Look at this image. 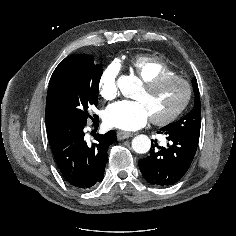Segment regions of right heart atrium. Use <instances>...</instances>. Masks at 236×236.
Here are the masks:
<instances>
[{
	"mask_svg": "<svg viewBox=\"0 0 236 236\" xmlns=\"http://www.w3.org/2000/svg\"><path fill=\"white\" fill-rule=\"evenodd\" d=\"M120 68L119 62L113 61L102 71L99 77V93L106 100H113L117 96Z\"/></svg>",
	"mask_w": 236,
	"mask_h": 236,
	"instance_id": "d8ad5b80",
	"label": "right heart atrium"
}]
</instances>
